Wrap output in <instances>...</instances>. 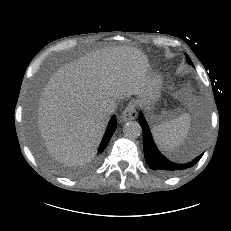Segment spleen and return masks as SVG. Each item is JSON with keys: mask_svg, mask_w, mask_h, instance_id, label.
<instances>
[{"mask_svg": "<svg viewBox=\"0 0 231 231\" xmlns=\"http://www.w3.org/2000/svg\"><path fill=\"white\" fill-rule=\"evenodd\" d=\"M191 117L184 113L170 121L163 122L152 128L157 145L163 150H173L185 139L190 129Z\"/></svg>", "mask_w": 231, "mask_h": 231, "instance_id": "obj_1", "label": "spleen"}]
</instances>
